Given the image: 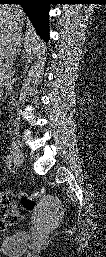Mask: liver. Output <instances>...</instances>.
<instances>
[{
    "label": "liver",
    "mask_w": 106,
    "mask_h": 257,
    "mask_svg": "<svg viewBox=\"0 0 106 257\" xmlns=\"http://www.w3.org/2000/svg\"><path fill=\"white\" fill-rule=\"evenodd\" d=\"M27 17L24 11L18 5H2L0 7V44L4 42L9 33L10 26H14L16 22L21 28Z\"/></svg>",
    "instance_id": "obj_1"
}]
</instances>
